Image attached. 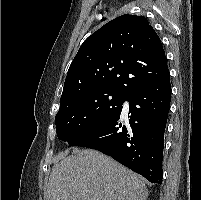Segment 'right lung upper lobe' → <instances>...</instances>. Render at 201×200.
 Returning a JSON list of instances; mask_svg holds the SVG:
<instances>
[{
	"instance_id": "1",
	"label": "right lung upper lobe",
	"mask_w": 201,
	"mask_h": 200,
	"mask_svg": "<svg viewBox=\"0 0 201 200\" xmlns=\"http://www.w3.org/2000/svg\"><path fill=\"white\" fill-rule=\"evenodd\" d=\"M168 71L162 43L148 20L122 15L83 42L69 67L60 103L95 91L128 96Z\"/></svg>"
}]
</instances>
